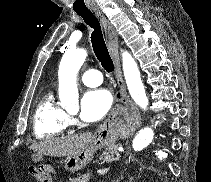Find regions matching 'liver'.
Segmentation results:
<instances>
[{
	"mask_svg": "<svg viewBox=\"0 0 211 182\" xmlns=\"http://www.w3.org/2000/svg\"><path fill=\"white\" fill-rule=\"evenodd\" d=\"M93 136V133L89 132L68 137L46 139L32 144L30 149L48 156L68 157L86 149Z\"/></svg>",
	"mask_w": 211,
	"mask_h": 182,
	"instance_id": "obj_1",
	"label": "liver"
}]
</instances>
